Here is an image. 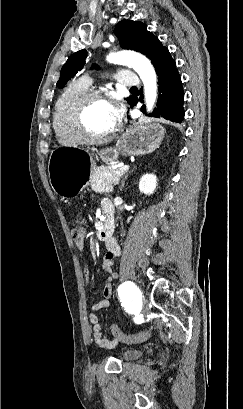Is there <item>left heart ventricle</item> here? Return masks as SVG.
Wrapping results in <instances>:
<instances>
[{
	"label": "left heart ventricle",
	"mask_w": 243,
	"mask_h": 409,
	"mask_svg": "<svg viewBox=\"0 0 243 409\" xmlns=\"http://www.w3.org/2000/svg\"><path fill=\"white\" fill-rule=\"evenodd\" d=\"M114 110V107L108 102H90L83 114V121L87 131L93 135H100L110 131L115 126Z\"/></svg>",
	"instance_id": "left-heart-ventricle-1"
}]
</instances>
